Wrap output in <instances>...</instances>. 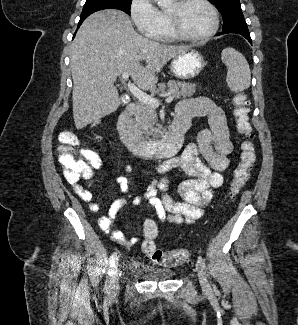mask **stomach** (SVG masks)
Listing matches in <instances>:
<instances>
[{
    "mask_svg": "<svg viewBox=\"0 0 298 325\" xmlns=\"http://www.w3.org/2000/svg\"><path fill=\"white\" fill-rule=\"evenodd\" d=\"M205 64H207V60L202 52L198 48H189V50L173 56L169 68L173 76L185 80V78L198 76L204 70Z\"/></svg>",
    "mask_w": 298,
    "mask_h": 325,
    "instance_id": "0dacf381",
    "label": "stomach"
}]
</instances>
